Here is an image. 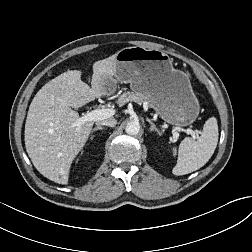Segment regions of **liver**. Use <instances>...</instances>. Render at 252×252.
Returning a JSON list of instances; mask_svg holds the SVG:
<instances>
[{
    "instance_id": "obj_1",
    "label": "liver",
    "mask_w": 252,
    "mask_h": 252,
    "mask_svg": "<svg viewBox=\"0 0 252 252\" xmlns=\"http://www.w3.org/2000/svg\"><path fill=\"white\" fill-rule=\"evenodd\" d=\"M92 68L91 87L81 80L82 71L62 73L37 92L27 114L28 156L44 177L59 184L68 183L71 164L85 146L94 124L90 121L75 126L80 117L72 108L108 95L104 79L115 74V55L96 61Z\"/></svg>"
}]
</instances>
